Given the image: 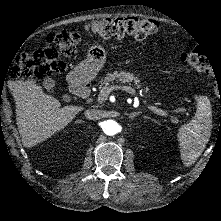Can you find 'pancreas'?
I'll list each match as a JSON object with an SVG mask.
<instances>
[{
  "label": "pancreas",
  "instance_id": "1",
  "mask_svg": "<svg viewBox=\"0 0 221 221\" xmlns=\"http://www.w3.org/2000/svg\"><path fill=\"white\" fill-rule=\"evenodd\" d=\"M114 80L127 82L128 77L126 73H118V72L108 73L105 78L101 79V84L103 85L102 90L106 86H110V82H113ZM175 121H177V119H175Z\"/></svg>",
  "mask_w": 221,
  "mask_h": 221
}]
</instances>
